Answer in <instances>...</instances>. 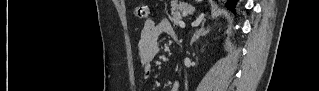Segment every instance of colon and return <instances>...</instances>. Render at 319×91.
Masks as SVG:
<instances>
[{
	"label": "colon",
	"instance_id": "1",
	"mask_svg": "<svg viewBox=\"0 0 319 91\" xmlns=\"http://www.w3.org/2000/svg\"><path fill=\"white\" fill-rule=\"evenodd\" d=\"M136 15L140 19H148L150 16V7L147 3H141L136 7Z\"/></svg>",
	"mask_w": 319,
	"mask_h": 91
}]
</instances>
